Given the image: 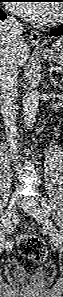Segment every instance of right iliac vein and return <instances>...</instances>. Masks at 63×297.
Returning a JSON list of instances; mask_svg holds the SVG:
<instances>
[{
  "instance_id": "right-iliac-vein-1",
  "label": "right iliac vein",
  "mask_w": 63,
  "mask_h": 297,
  "mask_svg": "<svg viewBox=\"0 0 63 297\" xmlns=\"http://www.w3.org/2000/svg\"><path fill=\"white\" fill-rule=\"evenodd\" d=\"M14 208H15V199L11 198L9 205L6 209L3 227H5L6 225H8L10 223L12 217L14 216ZM12 247H13V243L11 241H7L6 245H5V249L7 251H10L12 249Z\"/></svg>"
}]
</instances>
